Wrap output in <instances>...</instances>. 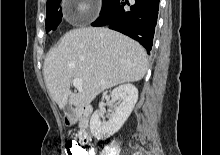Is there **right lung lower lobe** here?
<instances>
[{"label":"right lung lower lobe","mask_w":220,"mask_h":155,"mask_svg":"<svg viewBox=\"0 0 220 155\" xmlns=\"http://www.w3.org/2000/svg\"><path fill=\"white\" fill-rule=\"evenodd\" d=\"M128 0H113L101 10L93 26H109L137 40L150 52L157 22L159 0H135L129 8Z\"/></svg>","instance_id":"1"}]
</instances>
